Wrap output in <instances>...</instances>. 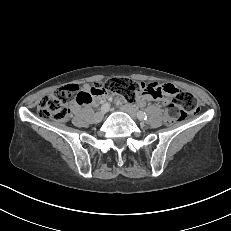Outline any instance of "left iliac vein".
Here are the masks:
<instances>
[{"instance_id":"obj_1","label":"left iliac vein","mask_w":231,"mask_h":231,"mask_svg":"<svg viewBox=\"0 0 231 231\" xmlns=\"http://www.w3.org/2000/svg\"><path fill=\"white\" fill-rule=\"evenodd\" d=\"M121 109L125 111L126 113H128L132 118L134 119L138 118V112L136 111L133 105L126 104V105H123Z\"/></svg>"}]
</instances>
